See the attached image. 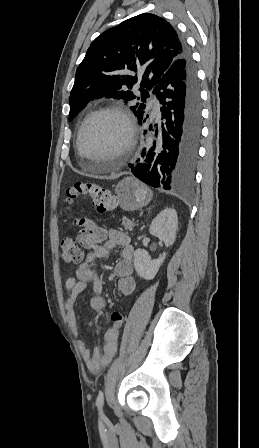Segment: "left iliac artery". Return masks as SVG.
Listing matches in <instances>:
<instances>
[{
    "mask_svg": "<svg viewBox=\"0 0 259 448\" xmlns=\"http://www.w3.org/2000/svg\"><path fill=\"white\" fill-rule=\"evenodd\" d=\"M103 405H104V393L101 391L99 392L97 399H96V406L99 409L100 413L103 415V418L105 421L108 422V419L103 414Z\"/></svg>",
    "mask_w": 259,
    "mask_h": 448,
    "instance_id": "left-iliac-artery-1",
    "label": "left iliac artery"
}]
</instances>
